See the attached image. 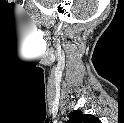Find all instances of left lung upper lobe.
Instances as JSON below:
<instances>
[{"instance_id": "obj_1", "label": "left lung upper lobe", "mask_w": 124, "mask_h": 123, "mask_svg": "<svg viewBox=\"0 0 124 123\" xmlns=\"http://www.w3.org/2000/svg\"><path fill=\"white\" fill-rule=\"evenodd\" d=\"M99 119L90 114H83L80 110L73 111L69 114L67 123H98Z\"/></svg>"}]
</instances>
